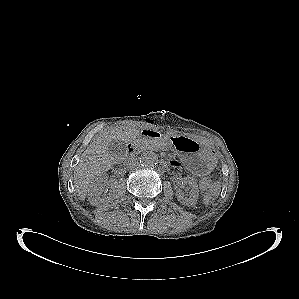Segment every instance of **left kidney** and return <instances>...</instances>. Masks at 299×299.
Segmentation results:
<instances>
[{"label": "left kidney", "instance_id": "left-kidney-1", "mask_svg": "<svg viewBox=\"0 0 299 299\" xmlns=\"http://www.w3.org/2000/svg\"><path fill=\"white\" fill-rule=\"evenodd\" d=\"M184 184H188L191 188V191L189 193V197H184V194L182 190L179 188L176 191L177 199L180 203L186 205V206H193L196 204L197 199L199 197V190L197 182L192 177H185L183 180ZM182 182V184H183Z\"/></svg>", "mask_w": 299, "mask_h": 299}]
</instances>
